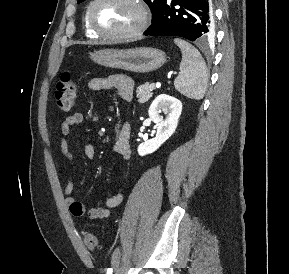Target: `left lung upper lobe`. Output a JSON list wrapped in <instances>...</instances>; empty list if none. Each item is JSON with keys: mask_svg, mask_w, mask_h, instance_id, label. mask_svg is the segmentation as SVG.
Wrapping results in <instances>:
<instances>
[{"mask_svg": "<svg viewBox=\"0 0 289 274\" xmlns=\"http://www.w3.org/2000/svg\"><path fill=\"white\" fill-rule=\"evenodd\" d=\"M85 0H78V3H81ZM148 6L150 7V10L152 12V22H154L160 15L161 9L164 6L166 0H144Z\"/></svg>", "mask_w": 289, "mask_h": 274, "instance_id": "1", "label": "left lung upper lobe"}]
</instances>
